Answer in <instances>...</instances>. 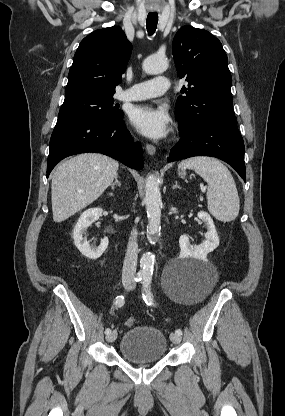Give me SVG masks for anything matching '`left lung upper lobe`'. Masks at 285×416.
<instances>
[{
	"label": "left lung upper lobe",
	"mask_w": 285,
	"mask_h": 416,
	"mask_svg": "<svg viewBox=\"0 0 285 416\" xmlns=\"http://www.w3.org/2000/svg\"><path fill=\"white\" fill-rule=\"evenodd\" d=\"M172 53L184 96L176 101L180 131L216 118H235L232 78L220 41L206 30L183 26L176 33Z\"/></svg>",
	"instance_id": "5c2ea615"
}]
</instances>
